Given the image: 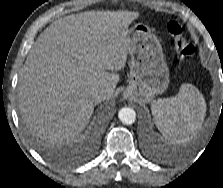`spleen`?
<instances>
[{
  "mask_svg": "<svg viewBox=\"0 0 223 188\" xmlns=\"http://www.w3.org/2000/svg\"><path fill=\"white\" fill-rule=\"evenodd\" d=\"M151 111L157 128L172 142H188L202 127L206 102L191 84H182L177 95L154 100Z\"/></svg>",
  "mask_w": 223,
  "mask_h": 188,
  "instance_id": "spleen-1",
  "label": "spleen"
}]
</instances>
